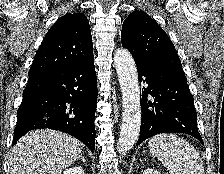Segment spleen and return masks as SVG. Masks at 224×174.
Instances as JSON below:
<instances>
[{"label":"spleen","mask_w":224,"mask_h":174,"mask_svg":"<svg viewBox=\"0 0 224 174\" xmlns=\"http://www.w3.org/2000/svg\"><path fill=\"white\" fill-rule=\"evenodd\" d=\"M150 153L170 174H204L198 151L176 134H159L148 142Z\"/></svg>","instance_id":"1"}]
</instances>
